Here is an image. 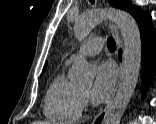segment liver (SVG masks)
<instances>
[{
    "instance_id": "6515ba94",
    "label": "liver",
    "mask_w": 156,
    "mask_h": 124,
    "mask_svg": "<svg viewBox=\"0 0 156 124\" xmlns=\"http://www.w3.org/2000/svg\"><path fill=\"white\" fill-rule=\"evenodd\" d=\"M33 124H51V123H49V122L37 121V122H34Z\"/></svg>"
}]
</instances>
